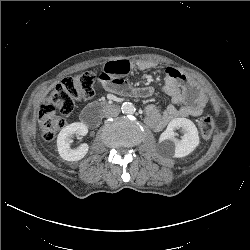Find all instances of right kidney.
Here are the masks:
<instances>
[{"label": "right kidney", "mask_w": 250, "mask_h": 250, "mask_svg": "<svg viewBox=\"0 0 250 250\" xmlns=\"http://www.w3.org/2000/svg\"><path fill=\"white\" fill-rule=\"evenodd\" d=\"M87 133L88 127L80 122H75L64 127L57 137V148L61 158L67 161H79L84 158L89 146L84 143L72 149L71 143L74 135L85 136Z\"/></svg>", "instance_id": "obj_1"}]
</instances>
